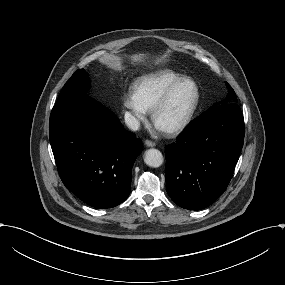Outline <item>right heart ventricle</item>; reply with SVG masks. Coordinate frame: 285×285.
Segmentation results:
<instances>
[{"label":"right heart ventricle","instance_id":"obj_1","mask_svg":"<svg viewBox=\"0 0 285 285\" xmlns=\"http://www.w3.org/2000/svg\"><path fill=\"white\" fill-rule=\"evenodd\" d=\"M183 76L170 70H161L142 77L136 84V92L149 110L162 98L164 93Z\"/></svg>","mask_w":285,"mask_h":285}]
</instances>
